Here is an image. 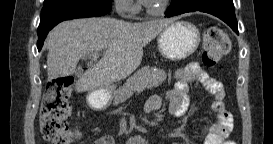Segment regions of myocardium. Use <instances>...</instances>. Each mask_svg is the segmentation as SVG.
Segmentation results:
<instances>
[{"instance_id": "f54148a6", "label": "myocardium", "mask_w": 273, "mask_h": 144, "mask_svg": "<svg viewBox=\"0 0 273 144\" xmlns=\"http://www.w3.org/2000/svg\"><path fill=\"white\" fill-rule=\"evenodd\" d=\"M171 2H172V0H162L157 7L153 8L149 5H146L145 9L150 14H161L168 9Z\"/></svg>"}]
</instances>
